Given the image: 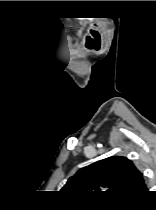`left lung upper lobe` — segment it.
I'll use <instances>...</instances> for the list:
<instances>
[{
    "label": "left lung upper lobe",
    "instance_id": "left-lung-upper-lobe-1",
    "mask_svg": "<svg viewBox=\"0 0 156 210\" xmlns=\"http://www.w3.org/2000/svg\"><path fill=\"white\" fill-rule=\"evenodd\" d=\"M63 191L137 196L147 192L143 174L126 157L112 156L79 170L68 179Z\"/></svg>",
    "mask_w": 156,
    "mask_h": 210
}]
</instances>
